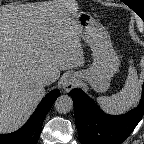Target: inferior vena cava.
<instances>
[{"label": "inferior vena cava", "instance_id": "602c4592", "mask_svg": "<svg viewBox=\"0 0 144 144\" xmlns=\"http://www.w3.org/2000/svg\"><path fill=\"white\" fill-rule=\"evenodd\" d=\"M56 79L57 78L54 75L46 74L41 78L40 83H41V85L46 86V85H50L53 82H55Z\"/></svg>", "mask_w": 144, "mask_h": 144}]
</instances>
